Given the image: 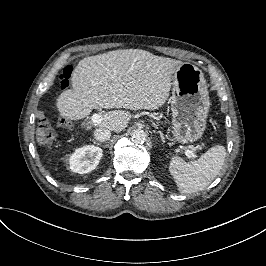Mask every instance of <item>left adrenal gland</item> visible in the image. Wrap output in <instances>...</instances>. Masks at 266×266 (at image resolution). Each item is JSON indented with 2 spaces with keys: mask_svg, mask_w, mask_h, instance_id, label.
<instances>
[{
  "mask_svg": "<svg viewBox=\"0 0 266 266\" xmlns=\"http://www.w3.org/2000/svg\"><path fill=\"white\" fill-rule=\"evenodd\" d=\"M158 133L160 134V137H161L162 142L165 143L164 134L161 131H158Z\"/></svg>",
  "mask_w": 266,
  "mask_h": 266,
  "instance_id": "left-adrenal-gland-1",
  "label": "left adrenal gland"
}]
</instances>
